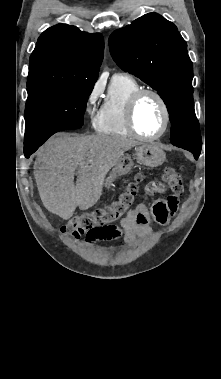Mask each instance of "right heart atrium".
Masks as SVG:
<instances>
[{
    "mask_svg": "<svg viewBox=\"0 0 221 379\" xmlns=\"http://www.w3.org/2000/svg\"><path fill=\"white\" fill-rule=\"evenodd\" d=\"M103 92V85L100 82L95 83L88 92L85 99V111L91 114L98 104Z\"/></svg>",
    "mask_w": 221,
    "mask_h": 379,
    "instance_id": "obj_1",
    "label": "right heart atrium"
}]
</instances>
